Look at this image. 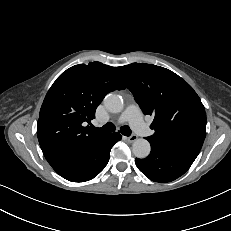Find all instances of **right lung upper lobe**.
I'll return each instance as SVG.
<instances>
[{
	"mask_svg": "<svg viewBox=\"0 0 231 231\" xmlns=\"http://www.w3.org/2000/svg\"><path fill=\"white\" fill-rule=\"evenodd\" d=\"M125 89L118 67L100 62L75 65L64 71L45 96L37 124L42 152L51 166L87 152L108 133L86 123L106 94Z\"/></svg>",
	"mask_w": 231,
	"mask_h": 231,
	"instance_id": "cb5924a9",
	"label": "right lung upper lobe"
}]
</instances>
